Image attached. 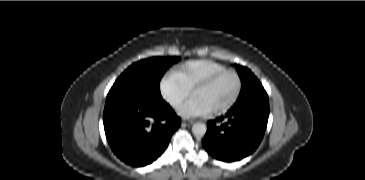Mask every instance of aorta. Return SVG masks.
I'll use <instances>...</instances> for the list:
<instances>
[{"instance_id": "obj_1", "label": "aorta", "mask_w": 365, "mask_h": 180, "mask_svg": "<svg viewBox=\"0 0 365 180\" xmlns=\"http://www.w3.org/2000/svg\"><path fill=\"white\" fill-rule=\"evenodd\" d=\"M207 126L204 123L196 122L192 125V133L195 136L202 137L206 134Z\"/></svg>"}]
</instances>
